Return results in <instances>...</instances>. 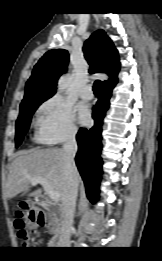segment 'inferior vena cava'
<instances>
[{
	"label": "inferior vena cava",
	"mask_w": 162,
	"mask_h": 261,
	"mask_svg": "<svg viewBox=\"0 0 162 261\" xmlns=\"http://www.w3.org/2000/svg\"><path fill=\"white\" fill-rule=\"evenodd\" d=\"M65 154L66 167V188L61 200L60 217H61V236L59 245L67 246L70 238V228L73 223L74 208L78 193V171L75 166V155L78 150L75 136H70L63 145Z\"/></svg>",
	"instance_id": "1"
}]
</instances>
